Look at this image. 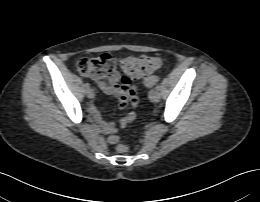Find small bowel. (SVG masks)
<instances>
[{"label": "small bowel", "mask_w": 260, "mask_h": 202, "mask_svg": "<svg viewBox=\"0 0 260 202\" xmlns=\"http://www.w3.org/2000/svg\"><path fill=\"white\" fill-rule=\"evenodd\" d=\"M100 86L105 93L118 98L119 106L122 109L126 108L128 104H130L131 107L137 105L138 98L136 96V90L131 83H123L117 77L111 81L100 83ZM89 112L94 121L98 123L100 129L108 135V142L111 144L118 141V136L116 135L118 129L125 128L132 123L136 117L135 113L131 111L126 114L118 124H115L105 122L94 104L89 106Z\"/></svg>", "instance_id": "c3829d8e"}]
</instances>
